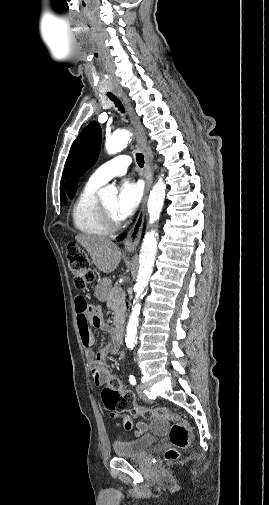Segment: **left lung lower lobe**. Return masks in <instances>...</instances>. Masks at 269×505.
<instances>
[{
	"label": "left lung lower lobe",
	"instance_id": "obj_1",
	"mask_svg": "<svg viewBox=\"0 0 269 505\" xmlns=\"http://www.w3.org/2000/svg\"><path fill=\"white\" fill-rule=\"evenodd\" d=\"M124 237H125V235H122V236H120V237L118 238V240H119V241H120V240H123V239H124Z\"/></svg>",
	"mask_w": 269,
	"mask_h": 505
}]
</instances>
